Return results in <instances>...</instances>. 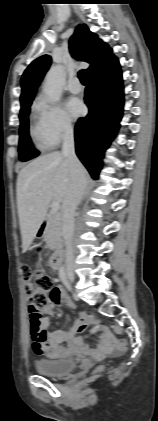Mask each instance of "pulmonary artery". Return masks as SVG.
Here are the masks:
<instances>
[{
	"instance_id": "obj_1",
	"label": "pulmonary artery",
	"mask_w": 158,
	"mask_h": 421,
	"mask_svg": "<svg viewBox=\"0 0 158 421\" xmlns=\"http://www.w3.org/2000/svg\"><path fill=\"white\" fill-rule=\"evenodd\" d=\"M69 90L72 93H80L82 91V85L80 84V81L78 78H74L71 80L69 84Z\"/></svg>"
}]
</instances>
